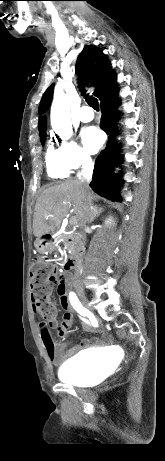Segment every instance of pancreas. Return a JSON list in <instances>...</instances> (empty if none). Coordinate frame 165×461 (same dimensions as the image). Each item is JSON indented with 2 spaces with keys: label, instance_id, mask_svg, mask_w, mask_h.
I'll use <instances>...</instances> for the list:
<instances>
[{
  "label": "pancreas",
  "instance_id": "obj_1",
  "mask_svg": "<svg viewBox=\"0 0 165 461\" xmlns=\"http://www.w3.org/2000/svg\"><path fill=\"white\" fill-rule=\"evenodd\" d=\"M65 246L66 248L71 251V252H74L75 251V244L73 242H66L65 243Z\"/></svg>",
  "mask_w": 165,
  "mask_h": 461
}]
</instances>
